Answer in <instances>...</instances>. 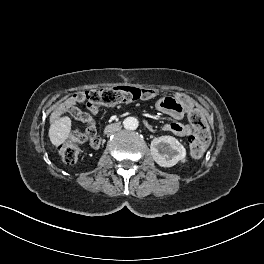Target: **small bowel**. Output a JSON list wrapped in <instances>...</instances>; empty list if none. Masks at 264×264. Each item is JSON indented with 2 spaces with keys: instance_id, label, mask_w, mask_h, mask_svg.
Here are the masks:
<instances>
[{
  "instance_id": "1",
  "label": "small bowel",
  "mask_w": 264,
  "mask_h": 264,
  "mask_svg": "<svg viewBox=\"0 0 264 264\" xmlns=\"http://www.w3.org/2000/svg\"><path fill=\"white\" fill-rule=\"evenodd\" d=\"M157 95V91L153 89H145L142 91V98L144 100H151ZM191 100L183 95L178 94L173 97H164L157 101L156 109L174 119L173 122L167 123L163 126V130L171 132L177 136H188L192 132V128L179 120L183 118L187 110L191 107ZM69 114L76 120L86 123L88 125L87 132L89 134L90 145L97 149L101 144L100 138L97 136L94 115L98 113L99 108L91 106L89 111L80 110L75 105L66 104L64 106Z\"/></svg>"
}]
</instances>
